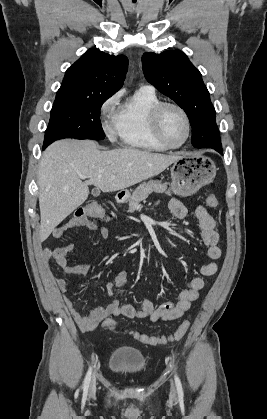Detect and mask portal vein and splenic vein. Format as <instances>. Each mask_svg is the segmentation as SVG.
I'll return each mask as SVG.
<instances>
[{"label":"portal vein and splenic vein","mask_w":267,"mask_h":419,"mask_svg":"<svg viewBox=\"0 0 267 419\" xmlns=\"http://www.w3.org/2000/svg\"><path fill=\"white\" fill-rule=\"evenodd\" d=\"M111 177H112V178H115V175H112ZM80 178H81V179H86V178H87V176H86V175H80Z\"/></svg>","instance_id":"18ae733b"}]
</instances>
